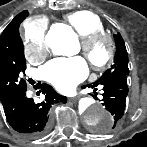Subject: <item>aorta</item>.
<instances>
[{
  "label": "aorta",
  "mask_w": 147,
  "mask_h": 147,
  "mask_svg": "<svg viewBox=\"0 0 147 147\" xmlns=\"http://www.w3.org/2000/svg\"><path fill=\"white\" fill-rule=\"evenodd\" d=\"M46 45L56 55L71 56L78 52L79 44L75 33L64 28L60 32H49L46 36ZM79 112L85 123L93 129H107L113 122V116L102 105L85 98L79 102Z\"/></svg>",
  "instance_id": "aorta-1"
}]
</instances>
